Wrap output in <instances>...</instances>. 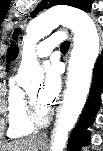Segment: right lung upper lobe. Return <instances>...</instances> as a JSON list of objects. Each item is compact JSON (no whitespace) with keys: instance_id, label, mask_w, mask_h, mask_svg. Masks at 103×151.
Returning <instances> with one entry per match:
<instances>
[{"instance_id":"right-lung-upper-lobe-1","label":"right lung upper lobe","mask_w":103,"mask_h":151,"mask_svg":"<svg viewBox=\"0 0 103 151\" xmlns=\"http://www.w3.org/2000/svg\"><path fill=\"white\" fill-rule=\"evenodd\" d=\"M20 33L19 29H16L13 34V39H15ZM18 53V47L16 45L11 44V47L8 48L6 61L9 63L11 60H14L17 57ZM6 68H8V65H6Z\"/></svg>"}]
</instances>
